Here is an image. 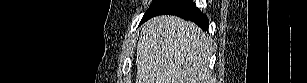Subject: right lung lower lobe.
Returning a JSON list of instances; mask_svg holds the SVG:
<instances>
[{"mask_svg": "<svg viewBox=\"0 0 307 83\" xmlns=\"http://www.w3.org/2000/svg\"><path fill=\"white\" fill-rule=\"evenodd\" d=\"M177 15L196 23L203 30H208V20L191 0H156L149 14L141 23L157 15Z\"/></svg>", "mask_w": 307, "mask_h": 83, "instance_id": "right-lung-lower-lobe-1", "label": "right lung lower lobe"}]
</instances>
